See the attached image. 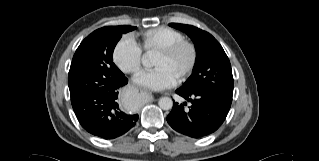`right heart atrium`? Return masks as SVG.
Returning <instances> with one entry per match:
<instances>
[{
  "label": "right heart atrium",
  "instance_id": "d8ad5b80",
  "mask_svg": "<svg viewBox=\"0 0 319 161\" xmlns=\"http://www.w3.org/2000/svg\"><path fill=\"white\" fill-rule=\"evenodd\" d=\"M113 58L116 66L125 73H137L141 67L142 50L132 35L122 37L114 47Z\"/></svg>",
  "mask_w": 319,
  "mask_h": 161
}]
</instances>
